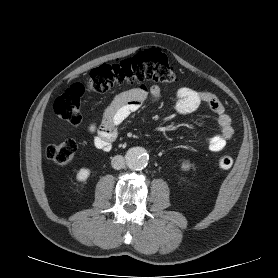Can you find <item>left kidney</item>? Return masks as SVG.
Listing matches in <instances>:
<instances>
[{
  "label": "left kidney",
  "instance_id": "5707ae66",
  "mask_svg": "<svg viewBox=\"0 0 278 278\" xmlns=\"http://www.w3.org/2000/svg\"><path fill=\"white\" fill-rule=\"evenodd\" d=\"M181 167L185 171L190 169V165L187 162H183Z\"/></svg>",
  "mask_w": 278,
  "mask_h": 278
}]
</instances>
